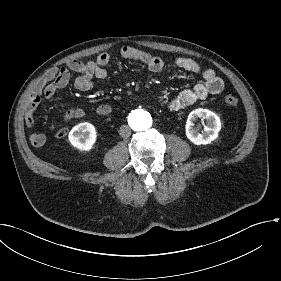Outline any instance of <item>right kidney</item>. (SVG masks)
Listing matches in <instances>:
<instances>
[{
  "instance_id": "1",
  "label": "right kidney",
  "mask_w": 281,
  "mask_h": 281,
  "mask_svg": "<svg viewBox=\"0 0 281 281\" xmlns=\"http://www.w3.org/2000/svg\"><path fill=\"white\" fill-rule=\"evenodd\" d=\"M96 137L95 127L88 122L80 123L71 130V144L79 150H91Z\"/></svg>"
}]
</instances>
